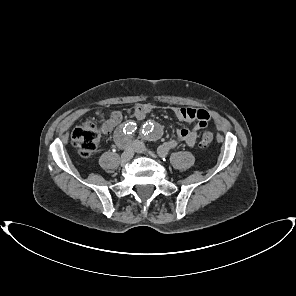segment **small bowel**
Masks as SVG:
<instances>
[{
    "label": "small bowel",
    "mask_w": 296,
    "mask_h": 296,
    "mask_svg": "<svg viewBox=\"0 0 296 296\" xmlns=\"http://www.w3.org/2000/svg\"><path fill=\"white\" fill-rule=\"evenodd\" d=\"M150 104H138L132 111V116L136 119H143L150 112ZM175 116L183 121H195L192 129L178 128L176 130L177 139H172L164 142L160 148L161 155H167L170 151L175 149L182 141L189 147H193L197 141L199 131L206 128L210 119L209 113L203 109L175 107L173 109ZM122 121V113L114 110L110 113L109 118L104 122L103 129L105 133H110Z\"/></svg>",
    "instance_id": "c3829d8e"
}]
</instances>
